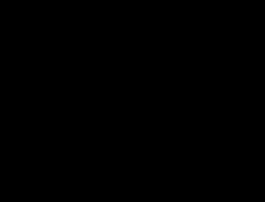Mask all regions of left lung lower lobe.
<instances>
[{
  "label": "left lung lower lobe",
  "instance_id": "1",
  "mask_svg": "<svg viewBox=\"0 0 265 202\" xmlns=\"http://www.w3.org/2000/svg\"><path fill=\"white\" fill-rule=\"evenodd\" d=\"M155 125L162 130V142L169 146L174 154L183 149H196L195 140L191 134L194 124L188 119L183 109L176 111L172 117H157ZM204 138L211 140V132Z\"/></svg>",
  "mask_w": 265,
  "mask_h": 202
}]
</instances>
